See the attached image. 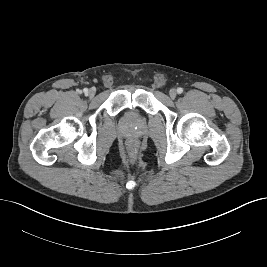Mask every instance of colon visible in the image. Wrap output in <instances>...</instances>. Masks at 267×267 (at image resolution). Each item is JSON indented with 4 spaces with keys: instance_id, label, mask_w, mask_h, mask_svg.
<instances>
[{
    "instance_id": "1",
    "label": "colon",
    "mask_w": 267,
    "mask_h": 267,
    "mask_svg": "<svg viewBox=\"0 0 267 267\" xmlns=\"http://www.w3.org/2000/svg\"><path fill=\"white\" fill-rule=\"evenodd\" d=\"M130 146H131V149H132V150H135L136 147H137V143H136L135 141H132V142L130 143Z\"/></svg>"
}]
</instances>
